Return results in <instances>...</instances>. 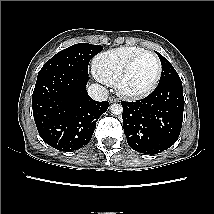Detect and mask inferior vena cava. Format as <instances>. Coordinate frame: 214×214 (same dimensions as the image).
Returning a JSON list of instances; mask_svg holds the SVG:
<instances>
[{"instance_id": "1", "label": "inferior vena cava", "mask_w": 214, "mask_h": 214, "mask_svg": "<svg viewBox=\"0 0 214 214\" xmlns=\"http://www.w3.org/2000/svg\"><path fill=\"white\" fill-rule=\"evenodd\" d=\"M87 92L96 101H104L108 98V90L99 84L89 85Z\"/></svg>"}]
</instances>
